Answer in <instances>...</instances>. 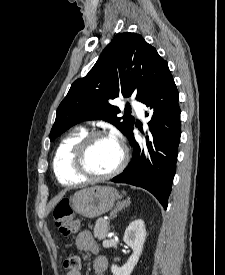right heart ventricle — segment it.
Listing matches in <instances>:
<instances>
[{"label": "right heart ventricle", "instance_id": "1", "mask_svg": "<svg viewBox=\"0 0 225 275\" xmlns=\"http://www.w3.org/2000/svg\"><path fill=\"white\" fill-rule=\"evenodd\" d=\"M85 134L84 128L75 129L67 134L57 147L53 170L57 180L63 185H74L84 181L72 168V154L74 147Z\"/></svg>", "mask_w": 225, "mask_h": 275}]
</instances>
